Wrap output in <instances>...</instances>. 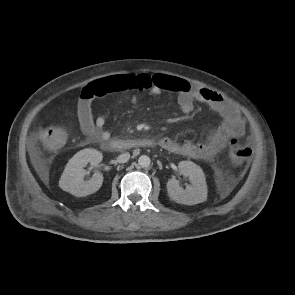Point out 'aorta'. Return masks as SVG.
Listing matches in <instances>:
<instances>
[{"label":"aorta","instance_id":"762f6f07","mask_svg":"<svg viewBox=\"0 0 295 295\" xmlns=\"http://www.w3.org/2000/svg\"><path fill=\"white\" fill-rule=\"evenodd\" d=\"M138 163L141 167L146 168V167H149L151 160H150L149 156L142 155L139 157Z\"/></svg>","mask_w":295,"mask_h":295}]
</instances>
